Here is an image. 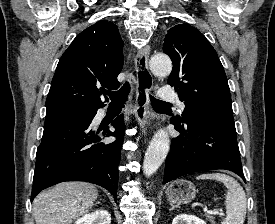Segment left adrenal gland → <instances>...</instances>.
I'll list each match as a JSON object with an SVG mask.
<instances>
[{"label": "left adrenal gland", "mask_w": 275, "mask_h": 224, "mask_svg": "<svg viewBox=\"0 0 275 224\" xmlns=\"http://www.w3.org/2000/svg\"><path fill=\"white\" fill-rule=\"evenodd\" d=\"M174 208H175V206H174V205H172V206H171V210H173Z\"/></svg>", "instance_id": "1"}]
</instances>
